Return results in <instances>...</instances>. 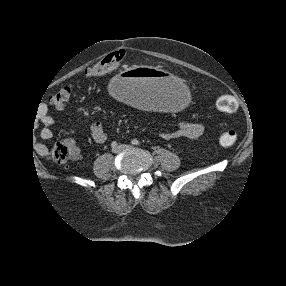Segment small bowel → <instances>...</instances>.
Listing matches in <instances>:
<instances>
[{
    "label": "small bowel",
    "mask_w": 286,
    "mask_h": 286,
    "mask_svg": "<svg viewBox=\"0 0 286 286\" xmlns=\"http://www.w3.org/2000/svg\"><path fill=\"white\" fill-rule=\"evenodd\" d=\"M40 120L43 124V128L39 132L40 138L43 140L51 139L53 137L52 127L54 124V118L49 114L48 111H43L40 115ZM202 133V124L186 118H181L174 128L161 132V136L164 139H194L199 137ZM91 136L92 139L98 144H102L107 140L105 128L100 121L94 122L91 126ZM64 143L71 150L73 158L78 160L80 158V148L76 141L73 138H67L64 140ZM36 151L40 155H47L48 147L43 143H38L36 146Z\"/></svg>",
    "instance_id": "1"
}]
</instances>
